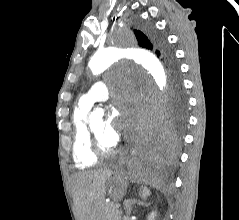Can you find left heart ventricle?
I'll list each match as a JSON object with an SVG mask.
<instances>
[{
    "instance_id": "b2bd125f",
    "label": "left heart ventricle",
    "mask_w": 239,
    "mask_h": 220,
    "mask_svg": "<svg viewBox=\"0 0 239 220\" xmlns=\"http://www.w3.org/2000/svg\"><path fill=\"white\" fill-rule=\"evenodd\" d=\"M105 121L103 119H98L95 120L91 123L92 129L95 132V134L97 135V137L99 138L101 144L106 147H112L114 144H112L111 142H109L107 139H105L103 133H104V128H105Z\"/></svg>"
}]
</instances>
